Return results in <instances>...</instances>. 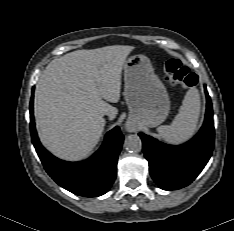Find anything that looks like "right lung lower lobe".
Returning a JSON list of instances; mask_svg holds the SVG:
<instances>
[{"instance_id":"1","label":"right lung lower lobe","mask_w":234,"mask_h":231,"mask_svg":"<svg viewBox=\"0 0 234 231\" xmlns=\"http://www.w3.org/2000/svg\"><path fill=\"white\" fill-rule=\"evenodd\" d=\"M30 102L31 136L38 156L54 181L66 190L86 197L105 194L116 178V165L120 153L123 135L119 127L109 131L101 148L83 162H66L54 157L40 143L34 124L33 98Z\"/></svg>"}]
</instances>
